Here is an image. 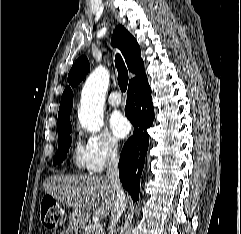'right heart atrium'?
<instances>
[{
  "label": "right heart atrium",
  "instance_id": "obj_1",
  "mask_svg": "<svg viewBox=\"0 0 241 234\" xmlns=\"http://www.w3.org/2000/svg\"><path fill=\"white\" fill-rule=\"evenodd\" d=\"M85 149L88 156V169L101 172L106 165L118 158L120 146L109 133L101 132L87 135Z\"/></svg>",
  "mask_w": 241,
  "mask_h": 234
}]
</instances>
